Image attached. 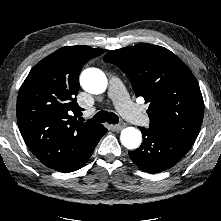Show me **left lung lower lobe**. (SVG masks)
I'll return each instance as SVG.
<instances>
[{"instance_id":"obj_1","label":"left lung lower lobe","mask_w":221,"mask_h":221,"mask_svg":"<svg viewBox=\"0 0 221 221\" xmlns=\"http://www.w3.org/2000/svg\"><path fill=\"white\" fill-rule=\"evenodd\" d=\"M143 135L141 146L129 152L132 161L143 171L160 173L179 162L190 144L161 132L140 128Z\"/></svg>"}]
</instances>
